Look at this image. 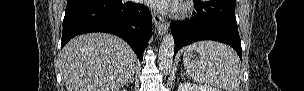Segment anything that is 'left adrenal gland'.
Returning a JSON list of instances; mask_svg holds the SVG:
<instances>
[{"label": "left adrenal gland", "instance_id": "a2214340", "mask_svg": "<svg viewBox=\"0 0 304 91\" xmlns=\"http://www.w3.org/2000/svg\"><path fill=\"white\" fill-rule=\"evenodd\" d=\"M185 75V73H181V76H184Z\"/></svg>", "mask_w": 304, "mask_h": 91}]
</instances>
